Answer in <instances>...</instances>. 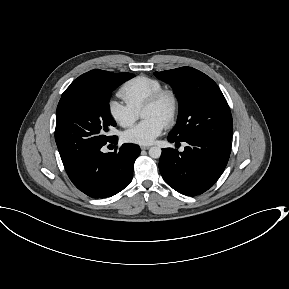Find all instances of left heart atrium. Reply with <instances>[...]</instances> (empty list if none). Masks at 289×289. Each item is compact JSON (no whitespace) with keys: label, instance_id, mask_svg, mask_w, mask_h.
Segmentation results:
<instances>
[{"label":"left heart atrium","instance_id":"obj_1","mask_svg":"<svg viewBox=\"0 0 289 289\" xmlns=\"http://www.w3.org/2000/svg\"><path fill=\"white\" fill-rule=\"evenodd\" d=\"M164 128V121L150 117L124 132L123 139L132 144L148 145L162 133Z\"/></svg>","mask_w":289,"mask_h":289}]
</instances>
